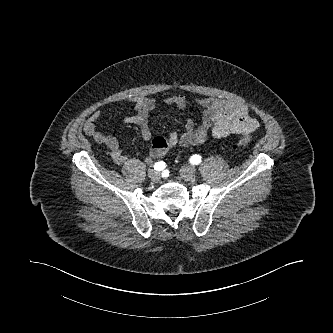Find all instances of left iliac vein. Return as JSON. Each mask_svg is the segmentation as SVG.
Segmentation results:
<instances>
[{
    "instance_id": "4c4485c4",
    "label": "left iliac vein",
    "mask_w": 333,
    "mask_h": 333,
    "mask_svg": "<svg viewBox=\"0 0 333 333\" xmlns=\"http://www.w3.org/2000/svg\"><path fill=\"white\" fill-rule=\"evenodd\" d=\"M180 175L184 180L193 181L196 179L197 172L194 167L185 165L180 168Z\"/></svg>"
}]
</instances>
